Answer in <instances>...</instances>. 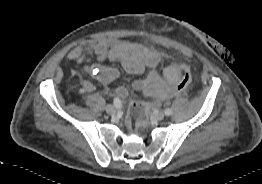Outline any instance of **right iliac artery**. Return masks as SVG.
<instances>
[{"instance_id": "1", "label": "right iliac artery", "mask_w": 262, "mask_h": 184, "mask_svg": "<svg viewBox=\"0 0 262 184\" xmlns=\"http://www.w3.org/2000/svg\"><path fill=\"white\" fill-rule=\"evenodd\" d=\"M113 103H114V106H115L117 109H119V108L121 107V100H120L118 97L114 98Z\"/></svg>"}]
</instances>
